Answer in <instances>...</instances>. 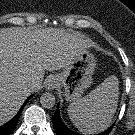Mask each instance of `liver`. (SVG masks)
Masks as SVG:
<instances>
[{"instance_id":"1","label":"liver","mask_w":135,"mask_h":135,"mask_svg":"<svg viewBox=\"0 0 135 135\" xmlns=\"http://www.w3.org/2000/svg\"><path fill=\"white\" fill-rule=\"evenodd\" d=\"M88 47L78 34L59 29L0 28V125L41 87L45 70L65 68ZM29 82L35 87L28 89Z\"/></svg>"}]
</instances>
